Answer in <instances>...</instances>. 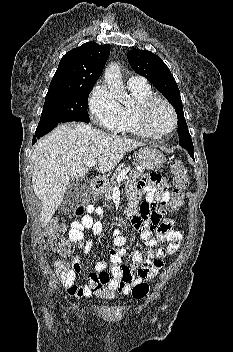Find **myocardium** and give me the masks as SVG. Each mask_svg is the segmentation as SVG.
<instances>
[{"label": "myocardium", "mask_w": 233, "mask_h": 352, "mask_svg": "<svg viewBox=\"0 0 233 352\" xmlns=\"http://www.w3.org/2000/svg\"><path fill=\"white\" fill-rule=\"evenodd\" d=\"M156 103H162L163 105H165L167 109L170 111L172 116L171 128L161 133H156L152 131L148 124L149 111L152 108V106ZM135 119H136L138 128L144 134V136L153 138V139L163 138L171 134L177 127V114L175 109L173 108V106L170 104L169 101H167L165 98L160 96L153 95L138 103L135 108Z\"/></svg>", "instance_id": "f54148a6"}]
</instances>
